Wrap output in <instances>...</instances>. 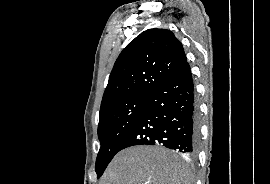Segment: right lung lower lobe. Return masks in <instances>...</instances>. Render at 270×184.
Masks as SVG:
<instances>
[{
    "instance_id": "obj_1",
    "label": "right lung lower lobe",
    "mask_w": 270,
    "mask_h": 184,
    "mask_svg": "<svg viewBox=\"0 0 270 184\" xmlns=\"http://www.w3.org/2000/svg\"><path fill=\"white\" fill-rule=\"evenodd\" d=\"M198 140V107L187 62L147 96L142 112L118 150L135 145H162L194 155Z\"/></svg>"
}]
</instances>
